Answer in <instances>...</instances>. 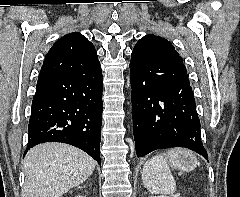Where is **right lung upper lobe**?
<instances>
[{
	"label": "right lung upper lobe",
	"instance_id": "right-lung-upper-lobe-1",
	"mask_svg": "<svg viewBox=\"0 0 240 197\" xmlns=\"http://www.w3.org/2000/svg\"><path fill=\"white\" fill-rule=\"evenodd\" d=\"M93 44L78 32L70 33L59 40L45 57L38 80L69 75H84L100 69Z\"/></svg>",
	"mask_w": 240,
	"mask_h": 197
}]
</instances>
